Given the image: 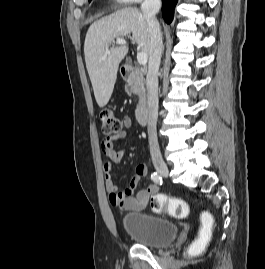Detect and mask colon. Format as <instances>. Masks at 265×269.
Here are the masks:
<instances>
[{
  "instance_id": "obj_1",
  "label": "colon",
  "mask_w": 265,
  "mask_h": 269,
  "mask_svg": "<svg viewBox=\"0 0 265 269\" xmlns=\"http://www.w3.org/2000/svg\"><path fill=\"white\" fill-rule=\"evenodd\" d=\"M102 132L106 138L118 136L122 132V121L110 110H103L100 113ZM151 206L157 213H168L177 218H185L189 214V205L186 201L173 198L165 194H157L152 198ZM209 218V216H207ZM207 237V231L202 230L200 241L203 242ZM195 246L190 251L195 250Z\"/></svg>"
}]
</instances>
